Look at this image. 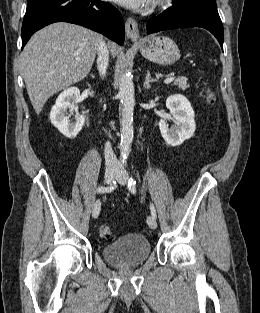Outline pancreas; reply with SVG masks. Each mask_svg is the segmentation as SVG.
Masks as SVG:
<instances>
[{"instance_id": "1", "label": "pancreas", "mask_w": 260, "mask_h": 313, "mask_svg": "<svg viewBox=\"0 0 260 313\" xmlns=\"http://www.w3.org/2000/svg\"><path fill=\"white\" fill-rule=\"evenodd\" d=\"M174 86H177L179 89L185 90L189 88V84L187 83V79L185 77H178L173 82Z\"/></svg>"}]
</instances>
